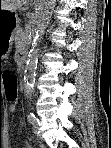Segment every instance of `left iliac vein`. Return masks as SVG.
Segmentation results:
<instances>
[{"label": "left iliac vein", "instance_id": "obj_1", "mask_svg": "<svg viewBox=\"0 0 111 148\" xmlns=\"http://www.w3.org/2000/svg\"><path fill=\"white\" fill-rule=\"evenodd\" d=\"M33 130H34V133L35 135L40 138V134H39V126L37 123L33 124Z\"/></svg>", "mask_w": 111, "mask_h": 148}]
</instances>
